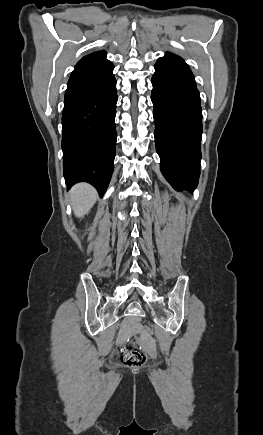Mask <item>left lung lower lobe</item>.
I'll return each instance as SVG.
<instances>
[{
  "label": "left lung lower lobe",
  "mask_w": 263,
  "mask_h": 435,
  "mask_svg": "<svg viewBox=\"0 0 263 435\" xmlns=\"http://www.w3.org/2000/svg\"><path fill=\"white\" fill-rule=\"evenodd\" d=\"M155 143L161 171L176 190L194 191L200 175L202 110L188 66L159 58L152 77Z\"/></svg>",
  "instance_id": "left-lung-lower-lobe-1"
}]
</instances>
